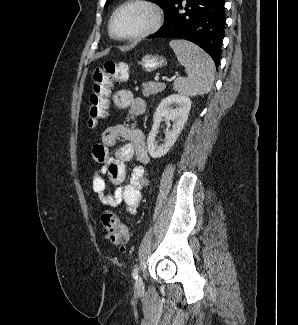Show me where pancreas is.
I'll return each instance as SVG.
<instances>
[{
    "mask_svg": "<svg viewBox=\"0 0 298 325\" xmlns=\"http://www.w3.org/2000/svg\"><path fill=\"white\" fill-rule=\"evenodd\" d=\"M143 88L142 94L143 96H152V94H158V92H162L164 88H166L165 82H142Z\"/></svg>",
    "mask_w": 298,
    "mask_h": 325,
    "instance_id": "1",
    "label": "pancreas"
}]
</instances>
